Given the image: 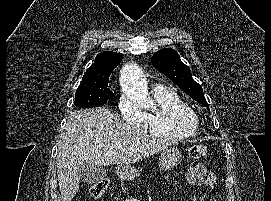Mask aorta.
Returning a JSON list of instances; mask_svg holds the SVG:
<instances>
[{
  "mask_svg": "<svg viewBox=\"0 0 271 201\" xmlns=\"http://www.w3.org/2000/svg\"><path fill=\"white\" fill-rule=\"evenodd\" d=\"M121 82L124 90L133 99L137 100L145 108L153 106L148 87L145 79L143 78L141 69L133 63L123 66L121 71Z\"/></svg>",
  "mask_w": 271,
  "mask_h": 201,
  "instance_id": "aorta-1",
  "label": "aorta"
}]
</instances>
